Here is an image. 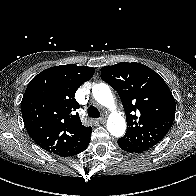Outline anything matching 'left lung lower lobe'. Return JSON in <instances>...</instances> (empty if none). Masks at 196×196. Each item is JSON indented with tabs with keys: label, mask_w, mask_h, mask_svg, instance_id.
Here are the masks:
<instances>
[{
	"label": "left lung lower lobe",
	"mask_w": 196,
	"mask_h": 196,
	"mask_svg": "<svg viewBox=\"0 0 196 196\" xmlns=\"http://www.w3.org/2000/svg\"><path fill=\"white\" fill-rule=\"evenodd\" d=\"M118 145L119 147L124 150V151H127V152H130V153H141V152H144L146 150L142 149V148H139V147H136L132 144H130L129 142H127L126 140L124 139H119L118 140Z\"/></svg>",
	"instance_id": "obj_1"
}]
</instances>
